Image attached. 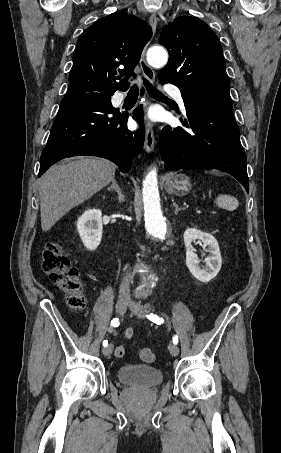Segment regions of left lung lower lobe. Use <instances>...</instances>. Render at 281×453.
<instances>
[{
  "mask_svg": "<svg viewBox=\"0 0 281 453\" xmlns=\"http://www.w3.org/2000/svg\"><path fill=\"white\" fill-rule=\"evenodd\" d=\"M184 104L188 122L182 123L190 130L166 126L160 134L164 168L218 169L234 176L249 192L246 155L231 100L185 101Z\"/></svg>",
  "mask_w": 281,
  "mask_h": 453,
  "instance_id": "0a47b994",
  "label": "left lung lower lobe"
}]
</instances>
